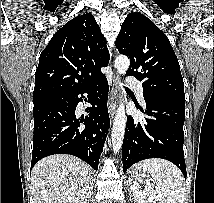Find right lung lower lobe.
<instances>
[{"label": "right lung lower lobe", "mask_w": 214, "mask_h": 203, "mask_svg": "<svg viewBox=\"0 0 214 203\" xmlns=\"http://www.w3.org/2000/svg\"><path fill=\"white\" fill-rule=\"evenodd\" d=\"M109 85L104 74L89 83L34 103V142L31 168L53 154L77 156L98 169L100 154L110 125L107 95ZM88 93L92 107L78 118L77 104Z\"/></svg>", "instance_id": "98d812e1"}]
</instances>
